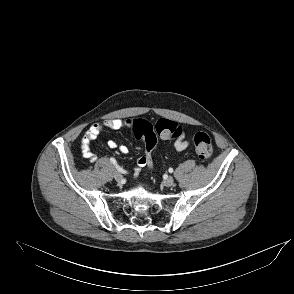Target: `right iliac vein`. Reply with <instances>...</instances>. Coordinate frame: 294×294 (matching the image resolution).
<instances>
[{
	"mask_svg": "<svg viewBox=\"0 0 294 294\" xmlns=\"http://www.w3.org/2000/svg\"><path fill=\"white\" fill-rule=\"evenodd\" d=\"M114 179H115L118 183H120V182L123 180V176H122L120 173L115 172V173H114Z\"/></svg>",
	"mask_w": 294,
	"mask_h": 294,
	"instance_id": "63e3f726",
	"label": "right iliac vein"
}]
</instances>
